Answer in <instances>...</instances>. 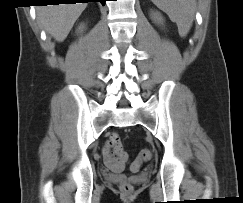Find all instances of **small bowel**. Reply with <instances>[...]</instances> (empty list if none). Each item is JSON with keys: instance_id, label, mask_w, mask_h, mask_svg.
I'll return each mask as SVG.
<instances>
[{"instance_id": "c3829d8e", "label": "small bowel", "mask_w": 243, "mask_h": 203, "mask_svg": "<svg viewBox=\"0 0 243 203\" xmlns=\"http://www.w3.org/2000/svg\"><path fill=\"white\" fill-rule=\"evenodd\" d=\"M122 149V143L117 133L110 135L109 140L102 148V155L106 166L115 173H120L124 170L125 163L119 158V151ZM138 161L132 164V169L135 170L139 166H135Z\"/></svg>"}]
</instances>
